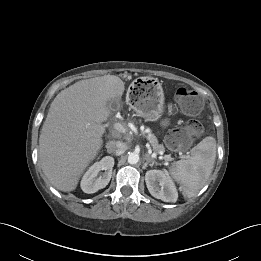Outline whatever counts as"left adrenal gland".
<instances>
[{
    "label": "left adrenal gland",
    "mask_w": 261,
    "mask_h": 261,
    "mask_svg": "<svg viewBox=\"0 0 261 261\" xmlns=\"http://www.w3.org/2000/svg\"><path fill=\"white\" fill-rule=\"evenodd\" d=\"M145 160H146V164L149 165V166H153L154 165V160L152 158H150L149 154H146L145 155Z\"/></svg>",
    "instance_id": "a2214340"
}]
</instances>
